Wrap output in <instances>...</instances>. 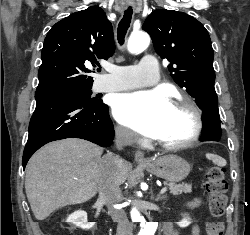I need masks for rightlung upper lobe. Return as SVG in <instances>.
Instances as JSON below:
<instances>
[{
    "instance_id": "cb5924a9",
    "label": "right lung upper lobe",
    "mask_w": 250,
    "mask_h": 235,
    "mask_svg": "<svg viewBox=\"0 0 250 235\" xmlns=\"http://www.w3.org/2000/svg\"><path fill=\"white\" fill-rule=\"evenodd\" d=\"M114 50L112 24L98 6L57 22L44 40L35 98L92 87L85 64L107 60Z\"/></svg>"
}]
</instances>
